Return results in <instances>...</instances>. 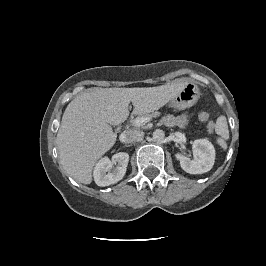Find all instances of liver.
Instances as JSON below:
<instances>
[{"instance_id": "obj_1", "label": "liver", "mask_w": 266, "mask_h": 266, "mask_svg": "<svg viewBox=\"0 0 266 266\" xmlns=\"http://www.w3.org/2000/svg\"><path fill=\"white\" fill-rule=\"evenodd\" d=\"M174 82L147 88L93 87L76 96L67 106L57 133L60 163L68 175L83 184L92 182L96 162L116 142L111 125L133 114H146L167 104L183 87Z\"/></svg>"}]
</instances>
